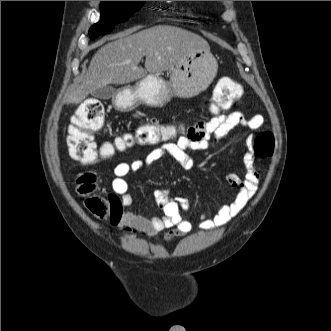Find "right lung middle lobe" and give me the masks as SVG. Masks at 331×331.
Returning a JSON list of instances; mask_svg holds the SVG:
<instances>
[{
	"instance_id": "obj_1",
	"label": "right lung middle lobe",
	"mask_w": 331,
	"mask_h": 331,
	"mask_svg": "<svg viewBox=\"0 0 331 331\" xmlns=\"http://www.w3.org/2000/svg\"><path fill=\"white\" fill-rule=\"evenodd\" d=\"M145 1H102L101 3V20L94 24L89 35L95 39L99 35L109 33L113 30L114 25L118 22L128 20Z\"/></svg>"
}]
</instances>
